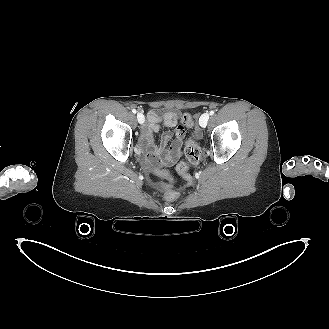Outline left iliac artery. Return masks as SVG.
I'll return each mask as SVG.
<instances>
[{
	"label": "left iliac artery",
	"instance_id": "1",
	"mask_svg": "<svg viewBox=\"0 0 329 329\" xmlns=\"http://www.w3.org/2000/svg\"><path fill=\"white\" fill-rule=\"evenodd\" d=\"M214 113H215L214 110H211V111H210V115H213Z\"/></svg>",
	"mask_w": 329,
	"mask_h": 329
}]
</instances>
